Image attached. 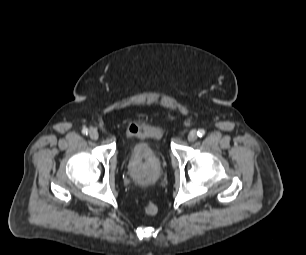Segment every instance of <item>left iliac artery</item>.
Returning a JSON list of instances; mask_svg holds the SVG:
<instances>
[{"label": "left iliac artery", "mask_w": 306, "mask_h": 255, "mask_svg": "<svg viewBox=\"0 0 306 255\" xmlns=\"http://www.w3.org/2000/svg\"><path fill=\"white\" fill-rule=\"evenodd\" d=\"M197 135H198L199 137H203V136L205 135V130H204V129H199V130L197 131Z\"/></svg>", "instance_id": "44dca946"}]
</instances>
